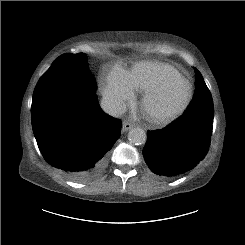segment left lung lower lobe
<instances>
[{"label": "left lung lower lobe", "instance_id": "1", "mask_svg": "<svg viewBox=\"0 0 245 245\" xmlns=\"http://www.w3.org/2000/svg\"><path fill=\"white\" fill-rule=\"evenodd\" d=\"M195 99L199 108L187 110L164 129L148 131L143 150L150 170L165 178H174L193 169L207 154L212 135L214 106L207 96L203 80L197 82ZM211 97V98H210ZM203 101V102H202Z\"/></svg>", "mask_w": 245, "mask_h": 245}]
</instances>
